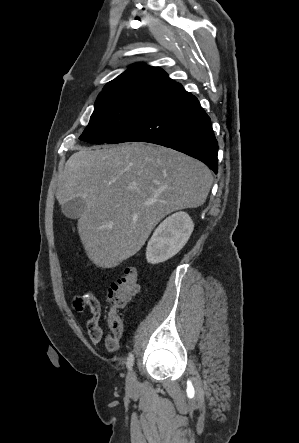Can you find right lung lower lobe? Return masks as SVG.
<instances>
[{
	"instance_id": "1",
	"label": "right lung lower lobe",
	"mask_w": 299,
	"mask_h": 443,
	"mask_svg": "<svg viewBox=\"0 0 299 443\" xmlns=\"http://www.w3.org/2000/svg\"><path fill=\"white\" fill-rule=\"evenodd\" d=\"M140 141L154 143L188 154L217 173L218 143L195 96L180 83L168 88L127 129L109 144Z\"/></svg>"
}]
</instances>
